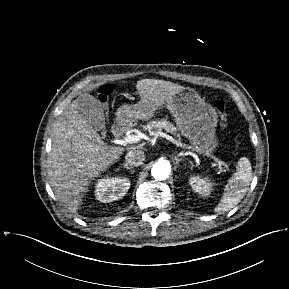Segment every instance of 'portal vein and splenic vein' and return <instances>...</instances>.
Returning a JSON list of instances; mask_svg holds the SVG:
<instances>
[{"label":"portal vein and splenic vein","mask_w":289,"mask_h":289,"mask_svg":"<svg viewBox=\"0 0 289 289\" xmlns=\"http://www.w3.org/2000/svg\"><path fill=\"white\" fill-rule=\"evenodd\" d=\"M156 135L166 138L167 140L171 141L173 144H176V146L181 147V148H185V149H189L188 146H186L185 144H182L181 142L175 140L172 136L167 135L166 133L163 132H156ZM141 137L139 135H128L126 137H124V139L122 140V143H137L138 141H140ZM191 155L193 157H197V155H195L194 153H191ZM210 157L218 163L219 166H223L227 171H230V168L228 166V164L220 159H218L217 157L210 155Z\"/></svg>","instance_id":"obj_1"}]
</instances>
